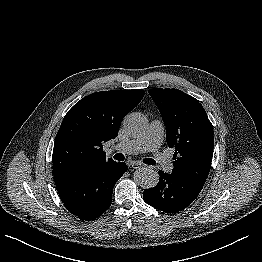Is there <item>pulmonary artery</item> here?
<instances>
[{
    "instance_id": "pulmonary-artery-1",
    "label": "pulmonary artery",
    "mask_w": 262,
    "mask_h": 262,
    "mask_svg": "<svg viewBox=\"0 0 262 262\" xmlns=\"http://www.w3.org/2000/svg\"><path fill=\"white\" fill-rule=\"evenodd\" d=\"M164 126L160 120H153L146 134L138 139L120 142L114 149L127 154H138L146 151L154 153V158L164 172L171 171V161L164 153L159 152L163 140Z\"/></svg>"
}]
</instances>
